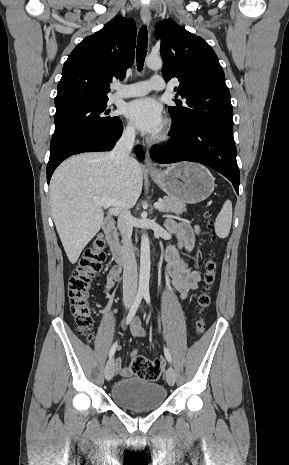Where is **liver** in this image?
<instances>
[{"label": "liver", "instance_id": "6515ba94", "mask_svg": "<svg viewBox=\"0 0 289 465\" xmlns=\"http://www.w3.org/2000/svg\"><path fill=\"white\" fill-rule=\"evenodd\" d=\"M142 185L143 171L134 158H130L122 170L108 152L75 155L59 165L50 182V206L72 264L104 223L103 208L93 198L116 200L117 204L108 212L116 215L123 208L136 204Z\"/></svg>", "mask_w": 289, "mask_h": 465}]
</instances>
